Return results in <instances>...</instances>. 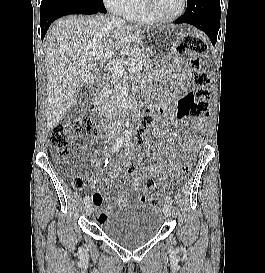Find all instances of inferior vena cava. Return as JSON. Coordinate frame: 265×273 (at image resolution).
Here are the masks:
<instances>
[{
	"mask_svg": "<svg viewBox=\"0 0 265 273\" xmlns=\"http://www.w3.org/2000/svg\"><path fill=\"white\" fill-rule=\"evenodd\" d=\"M111 22H112V23H116V24H123V23H124V20L115 18V17L113 16V17H111Z\"/></svg>",
	"mask_w": 265,
	"mask_h": 273,
	"instance_id": "1",
	"label": "inferior vena cava"
}]
</instances>
